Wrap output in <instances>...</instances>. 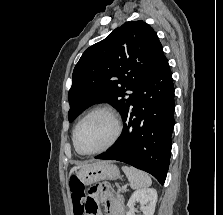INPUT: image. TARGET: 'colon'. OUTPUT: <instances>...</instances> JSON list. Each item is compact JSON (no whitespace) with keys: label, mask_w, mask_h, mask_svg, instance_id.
I'll use <instances>...</instances> for the list:
<instances>
[{"label":"colon","mask_w":223,"mask_h":215,"mask_svg":"<svg viewBox=\"0 0 223 215\" xmlns=\"http://www.w3.org/2000/svg\"><path fill=\"white\" fill-rule=\"evenodd\" d=\"M70 190L75 215H86L92 208L88 205L81 181L73 176L70 179Z\"/></svg>","instance_id":"colon-1"}]
</instances>
